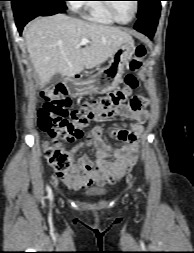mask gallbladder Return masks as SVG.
<instances>
[{"label": "gallbladder", "instance_id": "1", "mask_svg": "<svg viewBox=\"0 0 194 253\" xmlns=\"http://www.w3.org/2000/svg\"><path fill=\"white\" fill-rule=\"evenodd\" d=\"M61 81V75L59 73L53 75L49 81L50 87L57 85Z\"/></svg>", "mask_w": 194, "mask_h": 253}]
</instances>
